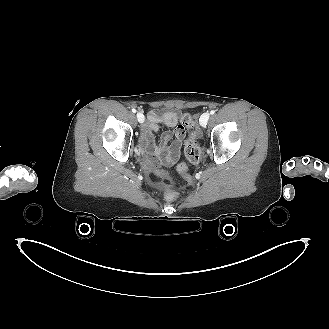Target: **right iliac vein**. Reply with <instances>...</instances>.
<instances>
[{
  "label": "right iliac vein",
  "instance_id": "obj_1",
  "mask_svg": "<svg viewBox=\"0 0 329 329\" xmlns=\"http://www.w3.org/2000/svg\"><path fill=\"white\" fill-rule=\"evenodd\" d=\"M136 116H137V120H138L139 123H143L144 122L145 117H144V115L142 113L138 112Z\"/></svg>",
  "mask_w": 329,
  "mask_h": 329
}]
</instances>
